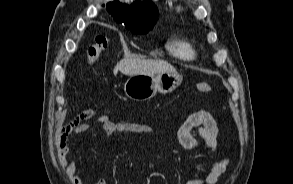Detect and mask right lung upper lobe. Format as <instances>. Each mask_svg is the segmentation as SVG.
<instances>
[{
	"label": "right lung upper lobe",
	"instance_id": "obj_1",
	"mask_svg": "<svg viewBox=\"0 0 293 184\" xmlns=\"http://www.w3.org/2000/svg\"><path fill=\"white\" fill-rule=\"evenodd\" d=\"M106 6L113 18L119 23H124L125 26L154 25L158 17V10L150 1L134 2L130 6L114 1Z\"/></svg>",
	"mask_w": 293,
	"mask_h": 184
}]
</instances>
